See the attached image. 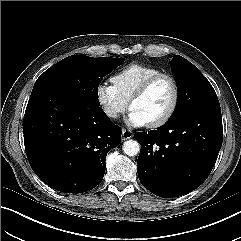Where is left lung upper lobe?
I'll use <instances>...</instances> for the list:
<instances>
[{
  "label": "left lung upper lobe",
  "instance_id": "5c2ea615",
  "mask_svg": "<svg viewBox=\"0 0 241 241\" xmlns=\"http://www.w3.org/2000/svg\"><path fill=\"white\" fill-rule=\"evenodd\" d=\"M170 63L178 86L177 104L170 119L196 109L220 110L212 85L196 66L179 55Z\"/></svg>",
  "mask_w": 241,
  "mask_h": 241
}]
</instances>
